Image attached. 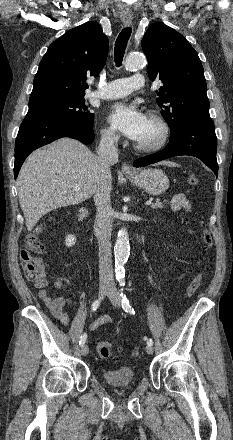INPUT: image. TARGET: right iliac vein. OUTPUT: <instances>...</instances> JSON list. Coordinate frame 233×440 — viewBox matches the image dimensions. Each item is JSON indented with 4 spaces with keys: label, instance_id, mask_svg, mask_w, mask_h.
Listing matches in <instances>:
<instances>
[{
    "label": "right iliac vein",
    "instance_id": "63e3f726",
    "mask_svg": "<svg viewBox=\"0 0 233 440\" xmlns=\"http://www.w3.org/2000/svg\"><path fill=\"white\" fill-rule=\"evenodd\" d=\"M108 290H109L108 285H105V284L100 285L99 296L103 297L108 292ZM88 352H89V347L86 344L82 345V347H81L82 356H86L88 354Z\"/></svg>",
    "mask_w": 233,
    "mask_h": 440
}]
</instances>
